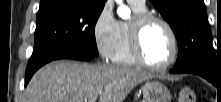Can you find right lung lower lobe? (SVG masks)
Returning a JSON list of instances; mask_svg holds the SVG:
<instances>
[{"mask_svg":"<svg viewBox=\"0 0 221 102\" xmlns=\"http://www.w3.org/2000/svg\"><path fill=\"white\" fill-rule=\"evenodd\" d=\"M95 56L83 52V51H77V50H68V51H63L57 55H54L50 57L49 59L41 62L37 66L31 68V69H26L25 73V86L28 84L29 80L33 76V74L43 65L46 63L52 61V60H58V59H74V60H81V61H89L93 59Z\"/></svg>","mask_w":221,"mask_h":102,"instance_id":"1","label":"right lung lower lobe"}]
</instances>
